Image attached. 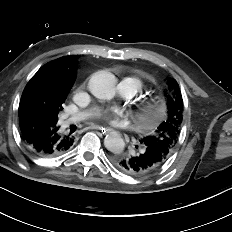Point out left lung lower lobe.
Instances as JSON below:
<instances>
[{
  "instance_id": "left-lung-lower-lobe-1",
  "label": "left lung lower lobe",
  "mask_w": 232,
  "mask_h": 232,
  "mask_svg": "<svg viewBox=\"0 0 232 232\" xmlns=\"http://www.w3.org/2000/svg\"><path fill=\"white\" fill-rule=\"evenodd\" d=\"M167 157L152 147L140 146L133 156H116L114 165L122 172L132 176H144L159 169Z\"/></svg>"
}]
</instances>
